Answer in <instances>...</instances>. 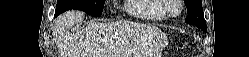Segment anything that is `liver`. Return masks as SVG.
<instances>
[{"instance_id":"1","label":"liver","mask_w":249,"mask_h":57,"mask_svg":"<svg viewBox=\"0 0 249 57\" xmlns=\"http://www.w3.org/2000/svg\"><path fill=\"white\" fill-rule=\"evenodd\" d=\"M84 19L68 11L55 22L57 45L63 57H160L163 34L157 27L132 23L91 21L82 30L72 28Z\"/></svg>"}]
</instances>
